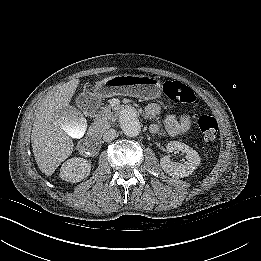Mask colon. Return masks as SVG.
I'll return each mask as SVG.
<instances>
[{
	"mask_svg": "<svg viewBox=\"0 0 261 261\" xmlns=\"http://www.w3.org/2000/svg\"><path fill=\"white\" fill-rule=\"evenodd\" d=\"M163 92L171 101L193 106L198 103L193 90L179 81H166L163 84ZM197 124L206 142H212L216 139L218 123L214 117L201 115L197 118Z\"/></svg>",
	"mask_w": 261,
	"mask_h": 261,
	"instance_id": "obj_1",
	"label": "colon"
}]
</instances>
